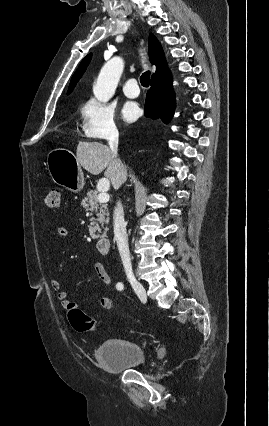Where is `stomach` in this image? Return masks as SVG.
I'll list each match as a JSON object with an SVG mask.
<instances>
[{"label":"stomach","instance_id":"stomach-1","mask_svg":"<svg viewBox=\"0 0 269 426\" xmlns=\"http://www.w3.org/2000/svg\"><path fill=\"white\" fill-rule=\"evenodd\" d=\"M47 169L51 179L67 190L78 193L84 187V175L77 158L64 148L51 150L47 155Z\"/></svg>","mask_w":269,"mask_h":426}]
</instances>
